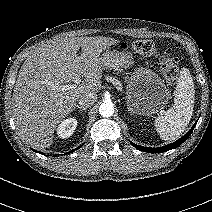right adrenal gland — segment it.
Listing matches in <instances>:
<instances>
[{
  "label": "right adrenal gland",
  "instance_id": "1",
  "mask_svg": "<svg viewBox=\"0 0 212 212\" xmlns=\"http://www.w3.org/2000/svg\"><path fill=\"white\" fill-rule=\"evenodd\" d=\"M76 108H78V109H80V110H82V111H86V109H87V107L80 106V105H75V106H74V110H75Z\"/></svg>",
  "mask_w": 212,
  "mask_h": 212
}]
</instances>
